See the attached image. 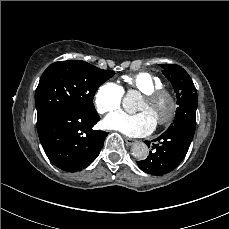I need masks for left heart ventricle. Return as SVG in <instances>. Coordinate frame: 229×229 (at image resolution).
<instances>
[{"label": "left heart ventricle", "mask_w": 229, "mask_h": 229, "mask_svg": "<svg viewBox=\"0 0 229 229\" xmlns=\"http://www.w3.org/2000/svg\"><path fill=\"white\" fill-rule=\"evenodd\" d=\"M169 109V103L166 100L159 101L157 103H151L144 97L140 103L138 110L149 113L155 120L160 117H164Z\"/></svg>", "instance_id": "obj_1"}]
</instances>
